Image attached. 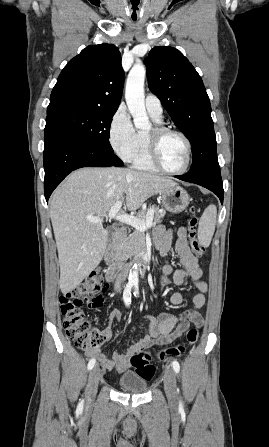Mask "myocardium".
<instances>
[{
  "label": "myocardium",
  "instance_id": "1",
  "mask_svg": "<svg viewBox=\"0 0 269 447\" xmlns=\"http://www.w3.org/2000/svg\"><path fill=\"white\" fill-rule=\"evenodd\" d=\"M167 134H176L180 136L186 144V161L181 169H170L163 163L161 159L160 140ZM146 141L149 160L157 169L168 174H181L189 168L192 157V145L190 139L182 131L162 125H156L152 129V132L146 134Z\"/></svg>",
  "mask_w": 269,
  "mask_h": 447
}]
</instances>
